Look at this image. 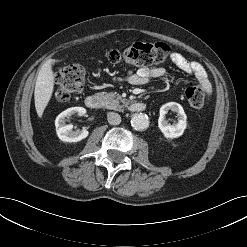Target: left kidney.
<instances>
[{
    "label": "left kidney",
    "mask_w": 247,
    "mask_h": 247,
    "mask_svg": "<svg viewBox=\"0 0 247 247\" xmlns=\"http://www.w3.org/2000/svg\"><path fill=\"white\" fill-rule=\"evenodd\" d=\"M177 112L178 122L174 124L168 123L165 115L168 111ZM158 127L166 138H178L183 135L184 130L187 127V116L183 107L176 102H169L161 106L160 116L158 119Z\"/></svg>",
    "instance_id": "obj_1"
}]
</instances>
